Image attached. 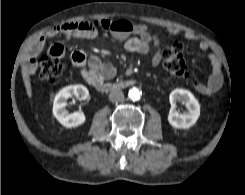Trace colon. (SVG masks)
<instances>
[{
    "label": "colon",
    "instance_id": "5ec220e1",
    "mask_svg": "<svg viewBox=\"0 0 245 195\" xmlns=\"http://www.w3.org/2000/svg\"><path fill=\"white\" fill-rule=\"evenodd\" d=\"M39 76L42 81L56 82L63 77L65 62L59 56H43L39 61ZM164 66L167 72L174 77H181L186 74V61L183 57V45L181 42H174L164 52Z\"/></svg>",
    "mask_w": 245,
    "mask_h": 195
}]
</instances>
